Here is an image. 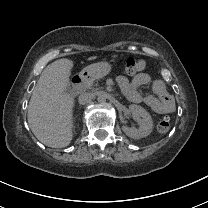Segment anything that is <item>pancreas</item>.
Instances as JSON below:
<instances>
[{
    "label": "pancreas",
    "mask_w": 208,
    "mask_h": 208,
    "mask_svg": "<svg viewBox=\"0 0 208 208\" xmlns=\"http://www.w3.org/2000/svg\"><path fill=\"white\" fill-rule=\"evenodd\" d=\"M87 89L91 90L92 92H96V91L103 89V88L99 87V84L97 81H93L87 85Z\"/></svg>",
    "instance_id": "cf45deb5"
}]
</instances>
